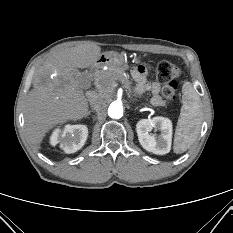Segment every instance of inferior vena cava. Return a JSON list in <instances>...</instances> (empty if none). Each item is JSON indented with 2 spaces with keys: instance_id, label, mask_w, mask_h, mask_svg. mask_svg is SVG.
I'll return each mask as SVG.
<instances>
[{
  "instance_id": "1",
  "label": "inferior vena cava",
  "mask_w": 233,
  "mask_h": 233,
  "mask_svg": "<svg viewBox=\"0 0 233 233\" xmlns=\"http://www.w3.org/2000/svg\"><path fill=\"white\" fill-rule=\"evenodd\" d=\"M86 96L91 105H95L98 102L99 97H100V95L96 93L95 91H88L86 93Z\"/></svg>"
}]
</instances>
